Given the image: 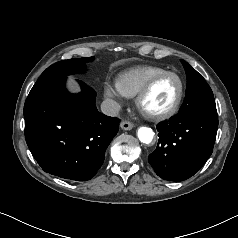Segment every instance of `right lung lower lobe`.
<instances>
[{
	"instance_id": "right-lung-lower-lobe-1",
	"label": "right lung lower lobe",
	"mask_w": 238,
	"mask_h": 238,
	"mask_svg": "<svg viewBox=\"0 0 238 238\" xmlns=\"http://www.w3.org/2000/svg\"><path fill=\"white\" fill-rule=\"evenodd\" d=\"M66 77L39 80L25 105V138L42 169L61 178L90 180L101 167L120 120L97 111L96 92L65 88Z\"/></svg>"
}]
</instances>
